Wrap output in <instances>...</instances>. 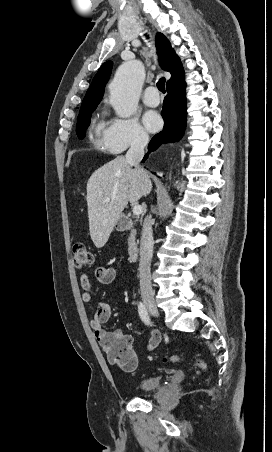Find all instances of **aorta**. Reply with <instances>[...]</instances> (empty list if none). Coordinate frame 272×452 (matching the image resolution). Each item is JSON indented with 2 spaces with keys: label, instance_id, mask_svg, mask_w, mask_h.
Segmentation results:
<instances>
[{
  "label": "aorta",
  "instance_id": "762f6f07",
  "mask_svg": "<svg viewBox=\"0 0 272 452\" xmlns=\"http://www.w3.org/2000/svg\"><path fill=\"white\" fill-rule=\"evenodd\" d=\"M144 76V67L138 60L118 68L110 84V103L119 117L129 118L136 112Z\"/></svg>",
  "mask_w": 272,
  "mask_h": 452
}]
</instances>
